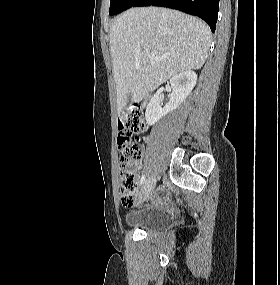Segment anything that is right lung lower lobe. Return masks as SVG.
Instances as JSON below:
<instances>
[{
  "label": "right lung lower lobe",
  "instance_id": "98d812e1",
  "mask_svg": "<svg viewBox=\"0 0 280 285\" xmlns=\"http://www.w3.org/2000/svg\"><path fill=\"white\" fill-rule=\"evenodd\" d=\"M163 6L202 18L215 32L219 0H138L135 6Z\"/></svg>",
  "mask_w": 280,
  "mask_h": 285
}]
</instances>
